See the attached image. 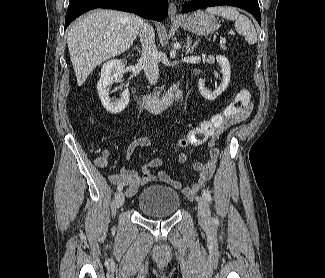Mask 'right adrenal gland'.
<instances>
[{
	"instance_id": "right-adrenal-gland-1",
	"label": "right adrenal gland",
	"mask_w": 325,
	"mask_h": 278,
	"mask_svg": "<svg viewBox=\"0 0 325 278\" xmlns=\"http://www.w3.org/2000/svg\"><path fill=\"white\" fill-rule=\"evenodd\" d=\"M134 49L138 52V53H140L141 52V50H140V48L139 47H134Z\"/></svg>"
}]
</instances>
